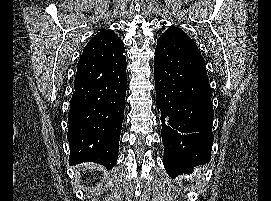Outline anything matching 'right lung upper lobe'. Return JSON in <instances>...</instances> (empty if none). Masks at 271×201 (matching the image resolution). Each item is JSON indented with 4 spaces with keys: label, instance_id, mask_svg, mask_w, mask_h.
I'll use <instances>...</instances> for the list:
<instances>
[{
    "label": "right lung upper lobe",
    "instance_id": "1",
    "mask_svg": "<svg viewBox=\"0 0 271 201\" xmlns=\"http://www.w3.org/2000/svg\"><path fill=\"white\" fill-rule=\"evenodd\" d=\"M102 35H109V37L111 38H117V36L115 35V33H113L112 31L108 30V31H101Z\"/></svg>",
    "mask_w": 271,
    "mask_h": 201
}]
</instances>
